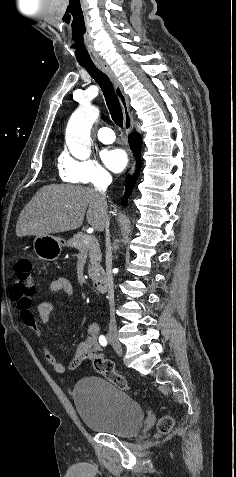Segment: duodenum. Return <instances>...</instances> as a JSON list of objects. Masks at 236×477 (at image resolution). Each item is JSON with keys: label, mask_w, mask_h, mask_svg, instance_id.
Instances as JSON below:
<instances>
[{"label": "duodenum", "mask_w": 236, "mask_h": 477, "mask_svg": "<svg viewBox=\"0 0 236 477\" xmlns=\"http://www.w3.org/2000/svg\"><path fill=\"white\" fill-rule=\"evenodd\" d=\"M93 285L99 293H105L108 289V281L104 276L95 277Z\"/></svg>", "instance_id": "obj_1"}]
</instances>
